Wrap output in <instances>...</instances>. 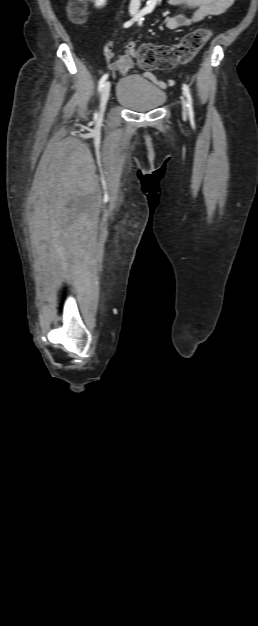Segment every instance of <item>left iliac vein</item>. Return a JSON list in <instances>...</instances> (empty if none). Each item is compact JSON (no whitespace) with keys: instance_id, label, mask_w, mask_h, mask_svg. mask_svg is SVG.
Masks as SVG:
<instances>
[{"instance_id":"4c4485c4","label":"left iliac vein","mask_w":258,"mask_h":626,"mask_svg":"<svg viewBox=\"0 0 258 626\" xmlns=\"http://www.w3.org/2000/svg\"><path fill=\"white\" fill-rule=\"evenodd\" d=\"M182 108H183V114L186 115L187 114V110H186L184 97H182Z\"/></svg>"}]
</instances>
